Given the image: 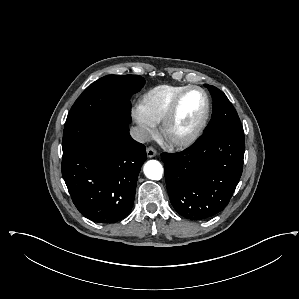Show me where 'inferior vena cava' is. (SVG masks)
<instances>
[{"instance_id":"602c4592","label":"inferior vena cava","mask_w":299,"mask_h":299,"mask_svg":"<svg viewBox=\"0 0 299 299\" xmlns=\"http://www.w3.org/2000/svg\"><path fill=\"white\" fill-rule=\"evenodd\" d=\"M130 134L134 140L140 143L149 142L151 139L149 132L141 127H132V129L130 130Z\"/></svg>"}]
</instances>
